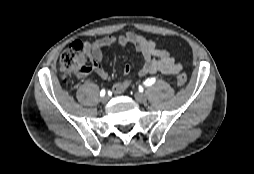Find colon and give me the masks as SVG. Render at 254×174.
Instances as JSON below:
<instances>
[{
  "label": "colon",
  "mask_w": 254,
  "mask_h": 174,
  "mask_svg": "<svg viewBox=\"0 0 254 174\" xmlns=\"http://www.w3.org/2000/svg\"><path fill=\"white\" fill-rule=\"evenodd\" d=\"M92 68V64L88 63L87 52L81 41L72 42L61 55L60 71L64 83H67L71 76L89 72ZM186 82L187 76L184 73L177 75L176 85L178 87H183Z\"/></svg>",
  "instance_id": "5ec220e1"
}]
</instances>
